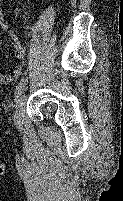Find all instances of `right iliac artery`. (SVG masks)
<instances>
[{"instance_id": "1", "label": "right iliac artery", "mask_w": 123, "mask_h": 201, "mask_svg": "<svg viewBox=\"0 0 123 201\" xmlns=\"http://www.w3.org/2000/svg\"><path fill=\"white\" fill-rule=\"evenodd\" d=\"M27 83V78H22L20 80V82L18 83L17 87H16V93H15V101L18 102L20 96L22 95L25 85Z\"/></svg>"}]
</instances>
